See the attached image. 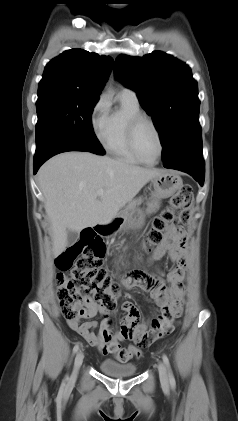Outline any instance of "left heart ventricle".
Masks as SVG:
<instances>
[{"instance_id": "1", "label": "left heart ventricle", "mask_w": 238, "mask_h": 421, "mask_svg": "<svg viewBox=\"0 0 238 421\" xmlns=\"http://www.w3.org/2000/svg\"><path fill=\"white\" fill-rule=\"evenodd\" d=\"M136 147L140 156L148 162L154 161L159 153V142L155 130L143 121L136 132Z\"/></svg>"}]
</instances>
